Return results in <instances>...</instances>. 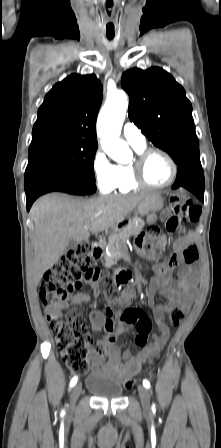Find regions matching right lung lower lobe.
Returning a JSON list of instances; mask_svg holds the SVG:
<instances>
[{"label": "right lung lower lobe", "mask_w": 221, "mask_h": 448, "mask_svg": "<svg viewBox=\"0 0 221 448\" xmlns=\"http://www.w3.org/2000/svg\"><path fill=\"white\" fill-rule=\"evenodd\" d=\"M60 191L74 195H87L96 191L95 182L77 181L50 172L25 174V193L27 210L41 195Z\"/></svg>", "instance_id": "1"}]
</instances>
